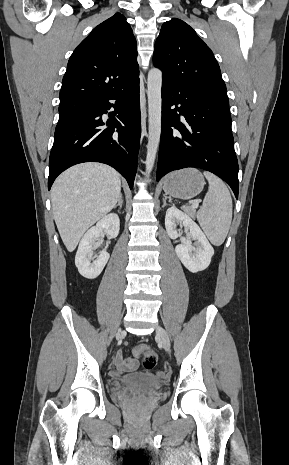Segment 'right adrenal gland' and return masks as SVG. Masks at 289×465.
I'll return each instance as SVG.
<instances>
[{"mask_svg":"<svg viewBox=\"0 0 289 465\" xmlns=\"http://www.w3.org/2000/svg\"><path fill=\"white\" fill-rule=\"evenodd\" d=\"M123 196L120 194L119 196V199H118V204L114 206V208H117L119 206V208H122V205H123Z\"/></svg>","mask_w":289,"mask_h":465,"instance_id":"obj_1","label":"right adrenal gland"}]
</instances>
